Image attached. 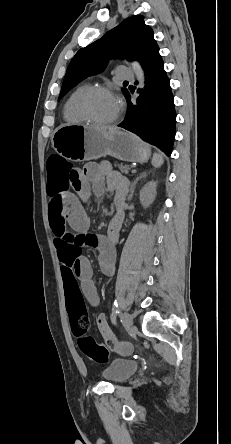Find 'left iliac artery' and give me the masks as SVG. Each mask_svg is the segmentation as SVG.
Wrapping results in <instances>:
<instances>
[{
    "instance_id": "1",
    "label": "left iliac artery",
    "mask_w": 231,
    "mask_h": 444,
    "mask_svg": "<svg viewBox=\"0 0 231 444\" xmlns=\"http://www.w3.org/2000/svg\"><path fill=\"white\" fill-rule=\"evenodd\" d=\"M118 313H119V305H118L117 300H115L114 303H113V313H112V316H111L112 323H115L116 315Z\"/></svg>"
}]
</instances>
